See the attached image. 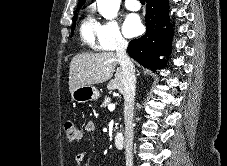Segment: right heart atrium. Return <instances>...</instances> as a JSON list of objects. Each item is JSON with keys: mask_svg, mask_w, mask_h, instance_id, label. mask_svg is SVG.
<instances>
[{"mask_svg": "<svg viewBox=\"0 0 227 166\" xmlns=\"http://www.w3.org/2000/svg\"><path fill=\"white\" fill-rule=\"evenodd\" d=\"M98 41L100 47L107 51L123 47L126 44L120 27L114 19L102 20L98 23Z\"/></svg>", "mask_w": 227, "mask_h": 166, "instance_id": "obj_1", "label": "right heart atrium"}]
</instances>
